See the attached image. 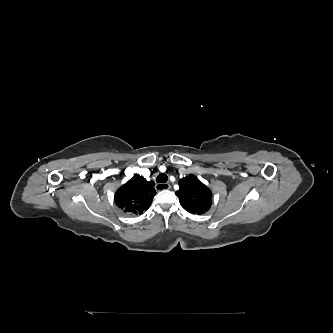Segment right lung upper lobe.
<instances>
[{"label":"right lung upper lobe","instance_id":"right-lung-upper-lobe-1","mask_svg":"<svg viewBox=\"0 0 333 333\" xmlns=\"http://www.w3.org/2000/svg\"><path fill=\"white\" fill-rule=\"evenodd\" d=\"M155 193L153 181L135 175L116 191L115 203L127 214H142L150 207Z\"/></svg>","mask_w":333,"mask_h":333}]
</instances>
